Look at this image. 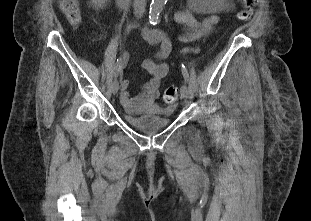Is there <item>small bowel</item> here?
Here are the masks:
<instances>
[{
  "label": "small bowel",
  "mask_w": 311,
  "mask_h": 221,
  "mask_svg": "<svg viewBox=\"0 0 311 221\" xmlns=\"http://www.w3.org/2000/svg\"><path fill=\"white\" fill-rule=\"evenodd\" d=\"M174 21L186 27L187 32L183 36V41L194 42L208 34L218 23L219 17L210 15L203 19H197L190 10H181L174 15ZM143 37L146 42L157 46L155 60H144L142 66L151 78L142 85V91L139 95L131 97L128 87L129 81L122 80L120 83L121 99L125 105L130 108L139 103H153L160 95L161 82L169 72V64L165 62L172 55V44L169 38L162 32L156 30H145ZM186 51L197 52L198 48L185 49Z\"/></svg>",
  "instance_id": "obj_1"
}]
</instances>
